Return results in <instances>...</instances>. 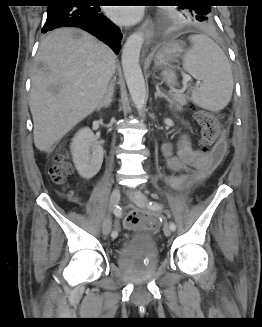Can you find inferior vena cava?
<instances>
[{"mask_svg":"<svg viewBox=\"0 0 262 327\" xmlns=\"http://www.w3.org/2000/svg\"><path fill=\"white\" fill-rule=\"evenodd\" d=\"M109 91H112V92H113V85H111V86L109 87Z\"/></svg>","mask_w":262,"mask_h":327,"instance_id":"602c4592","label":"inferior vena cava"}]
</instances>
